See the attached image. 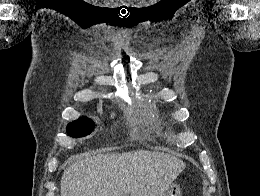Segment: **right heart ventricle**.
<instances>
[{
	"label": "right heart ventricle",
	"mask_w": 260,
	"mask_h": 196,
	"mask_svg": "<svg viewBox=\"0 0 260 196\" xmlns=\"http://www.w3.org/2000/svg\"><path fill=\"white\" fill-rule=\"evenodd\" d=\"M114 192H137V190H115ZM148 192H153V191L148 190Z\"/></svg>",
	"instance_id": "e07e8e85"
}]
</instances>
